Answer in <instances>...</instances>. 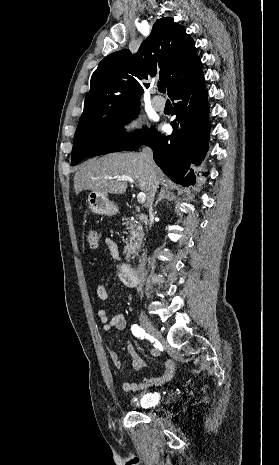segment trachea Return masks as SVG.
Returning a JSON list of instances; mask_svg holds the SVG:
<instances>
[{"label": "trachea", "instance_id": "trachea-1", "mask_svg": "<svg viewBox=\"0 0 279 465\" xmlns=\"http://www.w3.org/2000/svg\"><path fill=\"white\" fill-rule=\"evenodd\" d=\"M158 88H159L160 92H162V93L166 92V88H165V85L163 83H159Z\"/></svg>", "mask_w": 279, "mask_h": 465}]
</instances>
